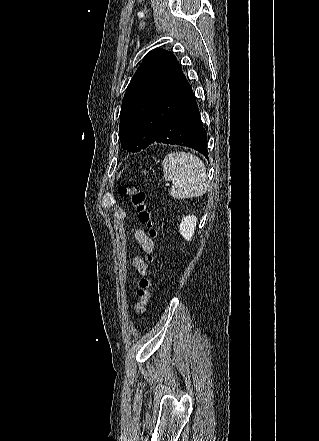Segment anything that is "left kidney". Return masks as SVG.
<instances>
[{"instance_id":"1","label":"left kidney","mask_w":319,"mask_h":441,"mask_svg":"<svg viewBox=\"0 0 319 441\" xmlns=\"http://www.w3.org/2000/svg\"><path fill=\"white\" fill-rule=\"evenodd\" d=\"M196 224L197 218L194 215H188L182 219L179 232L187 241H190L192 239Z\"/></svg>"}]
</instances>
